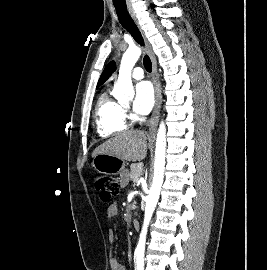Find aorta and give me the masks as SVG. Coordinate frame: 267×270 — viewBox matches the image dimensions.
<instances>
[{"mask_svg": "<svg viewBox=\"0 0 267 270\" xmlns=\"http://www.w3.org/2000/svg\"><path fill=\"white\" fill-rule=\"evenodd\" d=\"M141 55V49L137 46L129 47L123 54L117 83L114 85L113 96L118 101L130 100L134 96V88L131 80L132 69ZM166 153V127L161 122L157 132L155 163L153 182L146 198L145 214L142 231L136 248L137 262H143L148 225L157 205L164 177Z\"/></svg>", "mask_w": 267, "mask_h": 270, "instance_id": "762f6f07", "label": "aorta"}]
</instances>
